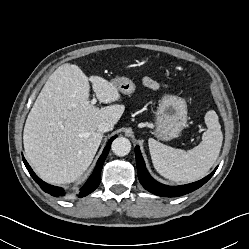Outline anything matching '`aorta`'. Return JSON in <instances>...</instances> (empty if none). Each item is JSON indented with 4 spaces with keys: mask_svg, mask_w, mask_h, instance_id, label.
<instances>
[{
    "mask_svg": "<svg viewBox=\"0 0 249 249\" xmlns=\"http://www.w3.org/2000/svg\"><path fill=\"white\" fill-rule=\"evenodd\" d=\"M111 149L117 156H126L131 150V143L125 137H118L112 142Z\"/></svg>",
    "mask_w": 249,
    "mask_h": 249,
    "instance_id": "aorta-1",
    "label": "aorta"
}]
</instances>
